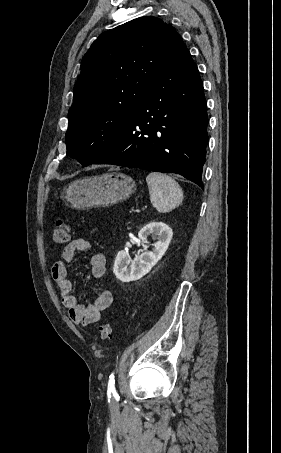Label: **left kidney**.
Segmentation results:
<instances>
[{"mask_svg":"<svg viewBox=\"0 0 281 453\" xmlns=\"http://www.w3.org/2000/svg\"><path fill=\"white\" fill-rule=\"evenodd\" d=\"M154 235L157 243L153 245L152 251H144L139 257L131 259L126 251H119L115 259L113 273L122 283L138 281L147 273H150L152 267L165 255L172 239L173 231L165 222H149L138 233L142 243H147V237Z\"/></svg>","mask_w":281,"mask_h":453,"instance_id":"left-kidney-1","label":"left kidney"}]
</instances>
